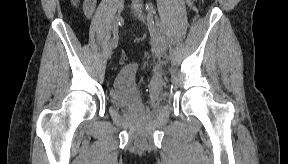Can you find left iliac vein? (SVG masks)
Masks as SVG:
<instances>
[{
  "mask_svg": "<svg viewBox=\"0 0 288 164\" xmlns=\"http://www.w3.org/2000/svg\"><path fill=\"white\" fill-rule=\"evenodd\" d=\"M142 20L143 22H145L146 26L148 27V30L151 35V39L154 45L156 46L158 52L163 55L167 50V43H166L165 37L163 36L159 28L153 24L152 18L150 16Z\"/></svg>",
  "mask_w": 288,
  "mask_h": 164,
  "instance_id": "4c4485c4",
  "label": "left iliac vein"
}]
</instances>
